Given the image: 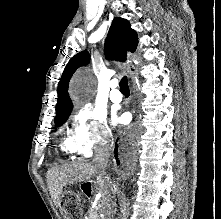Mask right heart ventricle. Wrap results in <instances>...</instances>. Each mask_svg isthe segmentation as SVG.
<instances>
[{"label": "right heart ventricle", "mask_w": 221, "mask_h": 219, "mask_svg": "<svg viewBox=\"0 0 221 219\" xmlns=\"http://www.w3.org/2000/svg\"><path fill=\"white\" fill-rule=\"evenodd\" d=\"M61 148L66 153H78L73 141L70 138H64L61 144Z\"/></svg>", "instance_id": "1"}]
</instances>
